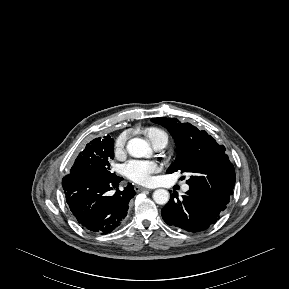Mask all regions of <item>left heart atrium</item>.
I'll use <instances>...</instances> for the list:
<instances>
[{"mask_svg":"<svg viewBox=\"0 0 289 289\" xmlns=\"http://www.w3.org/2000/svg\"><path fill=\"white\" fill-rule=\"evenodd\" d=\"M159 171L157 163L152 161L132 160L124 168L127 178L138 184H150L152 175Z\"/></svg>","mask_w":289,"mask_h":289,"instance_id":"obj_1","label":"left heart atrium"}]
</instances>
